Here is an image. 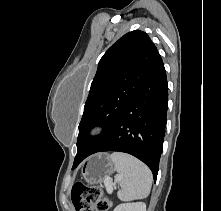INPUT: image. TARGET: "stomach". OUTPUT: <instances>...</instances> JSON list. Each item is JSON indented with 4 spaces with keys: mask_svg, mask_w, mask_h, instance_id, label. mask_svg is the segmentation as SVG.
<instances>
[{
    "mask_svg": "<svg viewBox=\"0 0 221 211\" xmlns=\"http://www.w3.org/2000/svg\"><path fill=\"white\" fill-rule=\"evenodd\" d=\"M114 165L107 154H96L82 165L81 175L89 184H101L113 172Z\"/></svg>",
    "mask_w": 221,
    "mask_h": 211,
    "instance_id": "0dacf381",
    "label": "stomach"
}]
</instances>
